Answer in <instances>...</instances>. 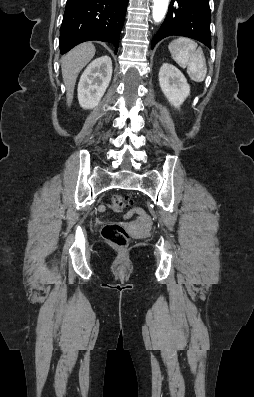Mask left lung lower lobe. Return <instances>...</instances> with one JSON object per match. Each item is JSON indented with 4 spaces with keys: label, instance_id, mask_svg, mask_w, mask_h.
I'll list each match as a JSON object with an SVG mask.
<instances>
[{
    "label": "left lung lower lobe",
    "instance_id": "obj_1",
    "mask_svg": "<svg viewBox=\"0 0 254 397\" xmlns=\"http://www.w3.org/2000/svg\"><path fill=\"white\" fill-rule=\"evenodd\" d=\"M209 0H171L166 18L152 40L157 42L170 35L196 39L211 48Z\"/></svg>",
    "mask_w": 254,
    "mask_h": 397
}]
</instances>
